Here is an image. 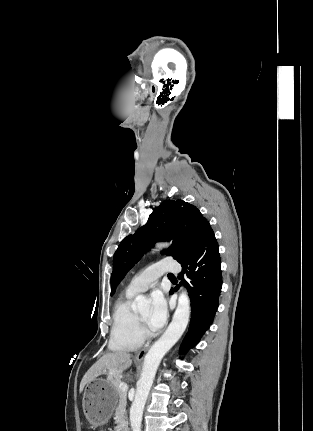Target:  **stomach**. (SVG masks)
<instances>
[{
	"label": "stomach",
	"instance_id": "1",
	"mask_svg": "<svg viewBox=\"0 0 313 431\" xmlns=\"http://www.w3.org/2000/svg\"><path fill=\"white\" fill-rule=\"evenodd\" d=\"M116 400L117 393L110 378H98L87 383L82 406L89 423L93 426L107 423L115 408Z\"/></svg>",
	"mask_w": 313,
	"mask_h": 431
}]
</instances>
